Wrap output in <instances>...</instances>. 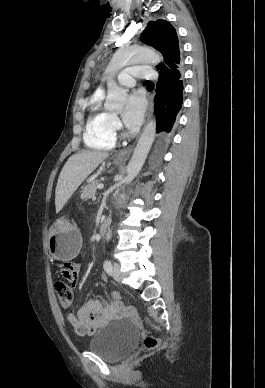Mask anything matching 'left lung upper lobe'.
Wrapping results in <instances>:
<instances>
[{"mask_svg": "<svg viewBox=\"0 0 265 388\" xmlns=\"http://www.w3.org/2000/svg\"><path fill=\"white\" fill-rule=\"evenodd\" d=\"M141 40L162 53L164 64L157 66L160 73L182 65L177 33L168 21H150L141 35Z\"/></svg>", "mask_w": 265, "mask_h": 388, "instance_id": "1", "label": "left lung upper lobe"}]
</instances>
